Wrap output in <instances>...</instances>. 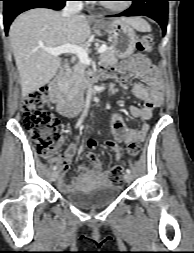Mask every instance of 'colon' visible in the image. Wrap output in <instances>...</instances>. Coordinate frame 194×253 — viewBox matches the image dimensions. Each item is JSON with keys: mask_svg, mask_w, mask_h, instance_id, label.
Listing matches in <instances>:
<instances>
[{"mask_svg": "<svg viewBox=\"0 0 194 253\" xmlns=\"http://www.w3.org/2000/svg\"><path fill=\"white\" fill-rule=\"evenodd\" d=\"M153 48V39L149 35L139 38L137 49L141 53H149ZM49 105V94L47 88L43 87L30 92L23 101L24 127L34 140L37 153L44 158L53 155L56 144L60 140V131L56 117L47 111ZM89 146L94 145L96 137L87 138ZM141 149L138 142H132L128 146V153L136 157ZM123 175V166L115 165L111 168V179L120 182Z\"/></svg>", "mask_w": 194, "mask_h": 253, "instance_id": "1", "label": "colon"}]
</instances>
